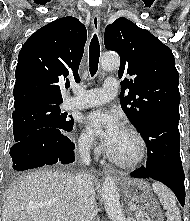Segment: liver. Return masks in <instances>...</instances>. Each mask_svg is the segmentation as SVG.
<instances>
[{
    "label": "liver",
    "instance_id": "obj_1",
    "mask_svg": "<svg viewBox=\"0 0 190 221\" xmlns=\"http://www.w3.org/2000/svg\"><path fill=\"white\" fill-rule=\"evenodd\" d=\"M74 181L70 173L45 169L20 177L10 187L2 221H74Z\"/></svg>",
    "mask_w": 190,
    "mask_h": 221
}]
</instances>
